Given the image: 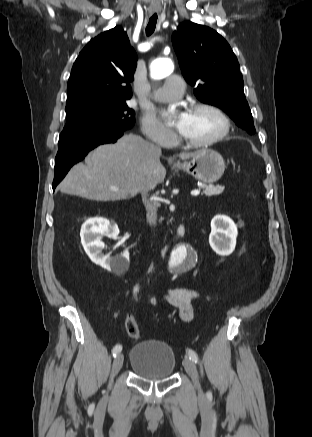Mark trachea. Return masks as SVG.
I'll return each instance as SVG.
<instances>
[{"mask_svg": "<svg viewBox=\"0 0 312 437\" xmlns=\"http://www.w3.org/2000/svg\"><path fill=\"white\" fill-rule=\"evenodd\" d=\"M156 23H157V14H154L149 19L148 25L146 27V34H147V36H150L154 32L155 27H156Z\"/></svg>", "mask_w": 312, "mask_h": 437, "instance_id": "1", "label": "trachea"}]
</instances>
